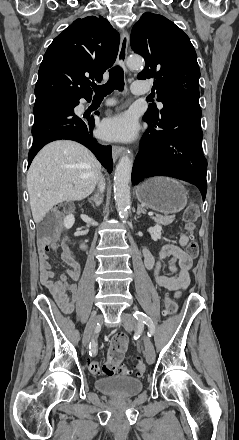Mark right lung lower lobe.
<instances>
[{
    "instance_id": "right-lung-lower-lobe-1",
    "label": "right lung lower lobe",
    "mask_w": 239,
    "mask_h": 440,
    "mask_svg": "<svg viewBox=\"0 0 239 440\" xmlns=\"http://www.w3.org/2000/svg\"><path fill=\"white\" fill-rule=\"evenodd\" d=\"M91 99V96L70 98L65 96H44L36 98L34 105V125L32 128L33 144L28 154V166L47 143L54 140L69 139L89 148L111 173L113 169L111 146L100 145L92 136L94 118L77 116L74 107L79 99Z\"/></svg>"
}]
</instances>
